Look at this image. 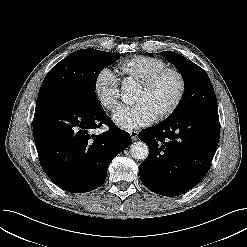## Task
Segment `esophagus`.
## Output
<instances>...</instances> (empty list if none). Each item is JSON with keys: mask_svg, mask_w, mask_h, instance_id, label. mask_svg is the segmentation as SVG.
<instances>
[{"mask_svg": "<svg viewBox=\"0 0 247 247\" xmlns=\"http://www.w3.org/2000/svg\"><path fill=\"white\" fill-rule=\"evenodd\" d=\"M129 134H130L131 138H132L134 141L137 140V138H138V131H136V130H130V131H129Z\"/></svg>", "mask_w": 247, "mask_h": 247, "instance_id": "1", "label": "esophagus"}]
</instances>
